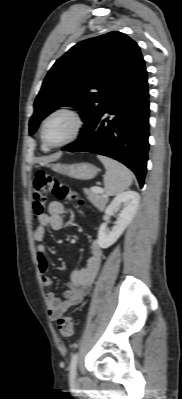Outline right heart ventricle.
<instances>
[{"mask_svg": "<svg viewBox=\"0 0 182 399\" xmlns=\"http://www.w3.org/2000/svg\"><path fill=\"white\" fill-rule=\"evenodd\" d=\"M42 147H43V149H44L45 151H47V150L49 149L44 143H43Z\"/></svg>", "mask_w": 182, "mask_h": 399, "instance_id": "right-heart-ventricle-1", "label": "right heart ventricle"}]
</instances>
